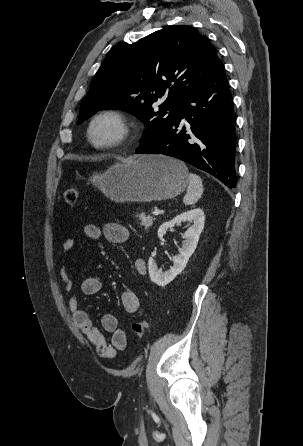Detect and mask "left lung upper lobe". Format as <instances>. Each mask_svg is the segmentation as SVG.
I'll use <instances>...</instances> for the list:
<instances>
[{"mask_svg":"<svg viewBox=\"0 0 303 446\" xmlns=\"http://www.w3.org/2000/svg\"><path fill=\"white\" fill-rule=\"evenodd\" d=\"M217 59L209 40L187 25L169 26L136 43L115 46L82 99L77 124L101 109L126 110L145 123L142 147L160 135L175 105ZM159 99L164 100L159 110L153 109Z\"/></svg>","mask_w":303,"mask_h":446,"instance_id":"5c2ea615","label":"left lung upper lobe"}]
</instances>
